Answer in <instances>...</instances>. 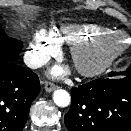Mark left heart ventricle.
I'll return each mask as SVG.
<instances>
[{"label": "left heart ventricle", "mask_w": 131, "mask_h": 131, "mask_svg": "<svg viewBox=\"0 0 131 131\" xmlns=\"http://www.w3.org/2000/svg\"><path fill=\"white\" fill-rule=\"evenodd\" d=\"M122 43L117 40H111L107 42L102 48L92 52V53H86L79 58V62L82 63L85 66H90L94 64L96 61L103 59L109 51L117 48Z\"/></svg>", "instance_id": "1"}]
</instances>
